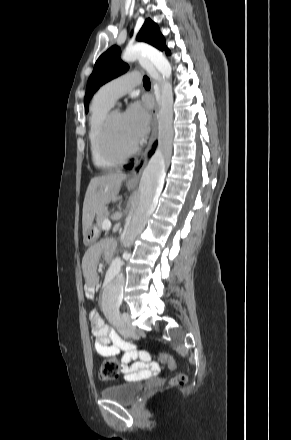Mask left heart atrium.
<instances>
[{"label": "left heart atrium", "instance_id": "1", "mask_svg": "<svg viewBox=\"0 0 291 440\" xmlns=\"http://www.w3.org/2000/svg\"><path fill=\"white\" fill-rule=\"evenodd\" d=\"M131 135L138 142L147 132L150 122L148 107L145 103L135 101L123 114Z\"/></svg>", "mask_w": 291, "mask_h": 440}]
</instances>
